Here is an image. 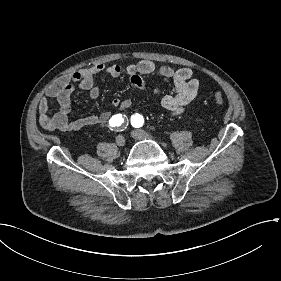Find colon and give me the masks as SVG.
I'll return each mask as SVG.
<instances>
[{
    "instance_id": "5ec220e1",
    "label": "colon",
    "mask_w": 281,
    "mask_h": 281,
    "mask_svg": "<svg viewBox=\"0 0 281 281\" xmlns=\"http://www.w3.org/2000/svg\"><path fill=\"white\" fill-rule=\"evenodd\" d=\"M213 101H214V103H216V104H223V103L225 102V97H224V95L221 94V93H216V94H214V96H213Z\"/></svg>"
}]
</instances>
